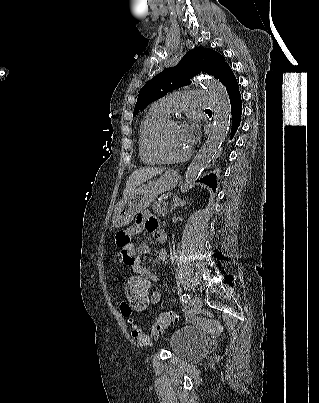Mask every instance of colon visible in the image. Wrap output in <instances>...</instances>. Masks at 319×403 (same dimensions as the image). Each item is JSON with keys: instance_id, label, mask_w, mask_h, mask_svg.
Wrapping results in <instances>:
<instances>
[{"instance_id": "colon-1", "label": "colon", "mask_w": 319, "mask_h": 403, "mask_svg": "<svg viewBox=\"0 0 319 403\" xmlns=\"http://www.w3.org/2000/svg\"><path fill=\"white\" fill-rule=\"evenodd\" d=\"M128 272L126 296H121L119 299L118 315L122 317L123 325H127L130 341H136L139 345L145 346L151 342L152 337L159 336L171 327L178 315L175 311L161 313L152 325L150 333L143 332L140 329V322L135 321L134 310L131 306L135 307V313H146V309H150V300L153 297L151 291L153 276L141 275L140 267H130Z\"/></svg>"}]
</instances>
